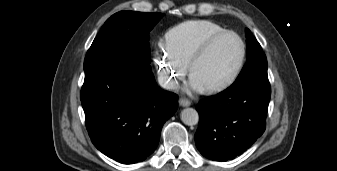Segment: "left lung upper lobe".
Instances as JSON below:
<instances>
[{"label": "left lung upper lobe", "mask_w": 337, "mask_h": 171, "mask_svg": "<svg viewBox=\"0 0 337 171\" xmlns=\"http://www.w3.org/2000/svg\"><path fill=\"white\" fill-rule=\"evenodd\" d=\"M246 45L248 50V60L241 73L231 86H236L251 82H261L269 84L267 75V59L258 41L249 29H246Z\"/></svg>", "instance_id": "left-lung-upper-lobe-1"}]
</instances>
